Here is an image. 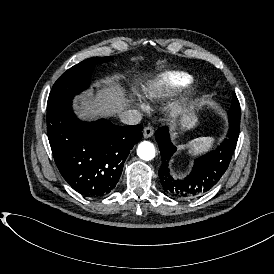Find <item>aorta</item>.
I'll return each instance as SVG.
<instances>
[{
    "label": "aorta",
    "instance_id": "obj_1",
    "mask_svg": "<svg viewBox=\"0 0 274 274\" xmlns=\"http://www.w3.org/2000/svg\"><path fill=\"white\" fill-rule=\"evenodd\" d=\"M137 155L140 159L149 161L155 157L154 145L149 141H143L138 145Z\"/></svg>",
    "mask_w": 274,
    "mask_h": 274
}]
</instances>
